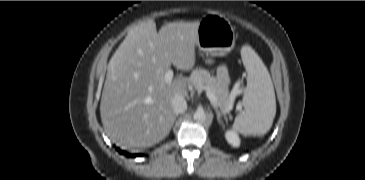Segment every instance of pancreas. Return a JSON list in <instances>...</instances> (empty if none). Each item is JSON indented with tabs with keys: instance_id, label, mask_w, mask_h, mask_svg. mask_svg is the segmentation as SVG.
I'll use <instances>...</instances> for the list:
<instances>
[{
	"instance_id": "pancreas-1",
	"label": "pancreas",
	"mask_w": 365,
	"mask_h": 180,
	"mask_svg": "<svg viewBox=\"0 0 365 180\" xmlns=\"http://www.w3.org/2000/svg\"><path fill=\"white\" fill-rule=\"evenodd\" d=\"M190 80L196 89H204L213 93L217 98L216 106L223 112H229L233 100L230 98L227 86L221 84L207 70L201 68L192 71Z\"/></svg>"
}]
</instances>
